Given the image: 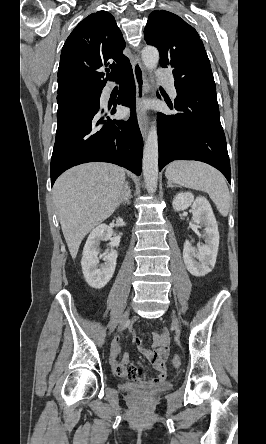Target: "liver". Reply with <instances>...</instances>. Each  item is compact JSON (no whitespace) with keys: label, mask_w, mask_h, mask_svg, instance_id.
Returning a JSON list of instances; mask_svg holds the SVG:
<instances>
[{"label":"liver","mask_w":266,"mask_h":444,"mask_svg":"<svg viewBox=\"0 0 266 444\" xmlns=\"http://www.w3.org/2000/svg\"><path fill=\"white\" fill-rule=\"evenodd\" d=\"M125 186V170L93 162L64 172L53 187L54 204L73 259L83 238L110 217Z\"/></svg>","instance_id":"liver-1"}]
</instances>
